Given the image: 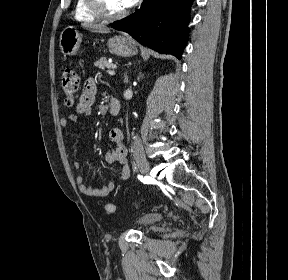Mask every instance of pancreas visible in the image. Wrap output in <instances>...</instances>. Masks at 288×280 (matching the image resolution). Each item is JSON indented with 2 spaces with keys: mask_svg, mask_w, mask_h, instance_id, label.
Listing matches in <instances>:
<instances>
[{
  "mask_svg": "<svg viewBox=\"0 0 288 280\" xmlns=\"http://www.w3.org/2000/svg\"><path fill=\"white\" fill-rule=\"evenodd\" d=\"M96 67H99L100 69L110 68L112 66H115L112 64L106 57L100 58L98 61L94 64Z\"/></svg>",
  "mask_w": 288,
  "mask_h": 280,
  "instance_id": "obj_1",
  "label": "pancreas"
}]
</instances>
